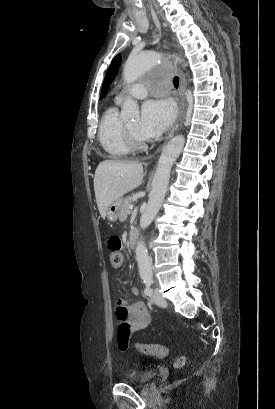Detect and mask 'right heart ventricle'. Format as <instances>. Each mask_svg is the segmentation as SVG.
Instances as JSON below:
<instances>
[{
	"label": "right heart ventricle",
	"mask_w": 275,
	"mask_h": 409,
	"mask_svg": "<svg viewBox=\"0 0 275 409\" xmlns=\"http://www.w3.org/2000/svg\"><path fill=\"white\" fill-rule=\"evenodd\" d=\"M124 124L116 107L106 110L100 120L98 139L103 151L110 157H122L131 152L126 142Z\"/></svg>",
	"instance_id": "1"
}]
</instances>
